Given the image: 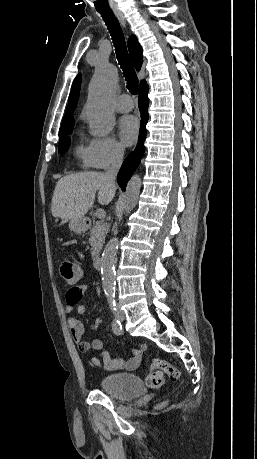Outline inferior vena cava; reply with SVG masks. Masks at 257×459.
<instances>
[{
  "label": "inferior vena cava",
  "mask_w": 257,
  "mask_h": 459,
  "mask_svg": "<svg viewBox=\"0 0 257 459\" xmlns=\"http://www.w3.org/2000/svg\"><path fill=\"white\" fill-rule=\"evenodd\" d=\"M123 156V149L116 148L112 156L111 167L105 172L106 177L109 179L113 187H115L116 176L122 165Z\"/></svg>",
  "instance_id": "inferior-vena-cava-1"
}]
</instances>
